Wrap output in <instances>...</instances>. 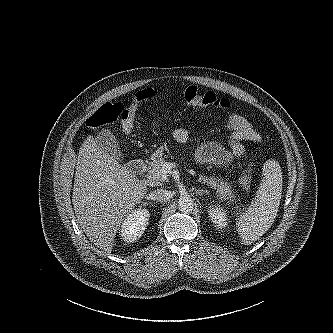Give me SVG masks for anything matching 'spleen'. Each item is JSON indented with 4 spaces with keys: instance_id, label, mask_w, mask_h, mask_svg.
Masks as SVG:
<instances>
[{
    "instance_id": "obj_1",
    "label": "spleen",
    "mask_w": 333,
    "mask_h": 333,
    "mask_svg": "<svg viewBox=\"0 0 333 333\" xmlns=\"http://www.w3.org/2000/svg\"><path fill=\"white\" fill-rule=\"evenodd\" d=\"M263 179L247 210L236 220L242 244L257 241L273 224L282 196V172L278 161L267 160L262 168Z\"/></svg>"
}]
</instances>
